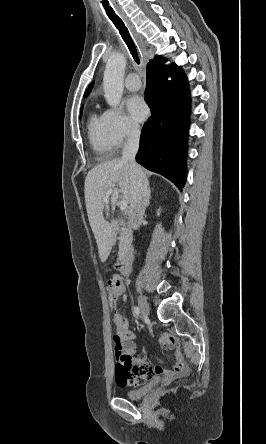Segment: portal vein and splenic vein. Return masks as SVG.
<instances>
[{
  "label": "portal vein and splenic vein",
  "instance_id": "18ae733b",
  "mask_svg": "<svg viewBox=\"0 0 266 444\" xmlns=\"http://www.w3.org/2000/svg\"><path fill=\"white\" fill-rule=\"evenodd\" d=\"M112 192H113V189H110V190L106 193V197H105V199H104V202H105V203H108V202H109V196L112 194ZM127 207H128V201H127L126 199L121 200V201H120V209H121L122 211H124V210L127 209Z\"/></svg>",
  "mask_w": 266,
  "mask_h": 444
}]
</instances>
